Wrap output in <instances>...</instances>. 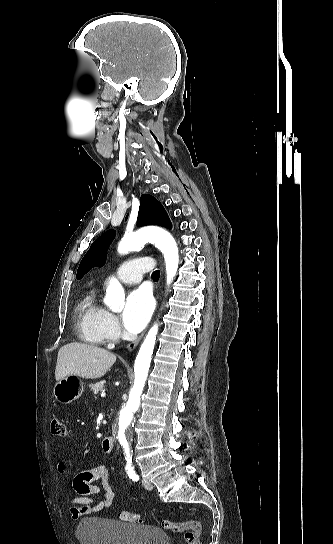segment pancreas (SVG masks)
<instances>
[{
  "instance_id": "pancreas-1",
  "label": "pancreas",
  "mask_w": 333,
  "mask_h": 544,
  "mask_svg": "<svg viewBox=\"0 0 333 544\" xmlns=\"http://www.w3.org/2000/svg\"><path fill=\"white\" fill-rule=\"evenodd\" d=\"M91 391L96 395L105 391V381H100L90 386Z\"/></svg>"
}]
</instances>
